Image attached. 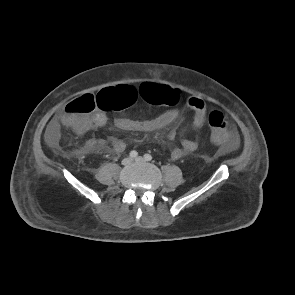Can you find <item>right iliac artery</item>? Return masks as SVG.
Instances as JSON below:
<instances>
[{"instance_id": "right-iliac-artery-1", "label": "right iliac artery", "mask_w": 295, "mask_h": 295, "mask_svg": "<svg viewBox=\"0 0 295 295\" xmlns=\"http://www.w3.org/2000/svg\"><path fill=\"white\" fill-rule=\"evenodd\" d=\"M129 155H130L131 158H136L138 156V153L135 150H133V151L130 152Z\"/></svg>"}]
</instances>
